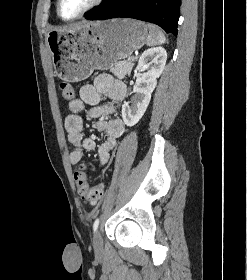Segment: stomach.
Listing matches in <instances>:
<instances>
[{"label": "stomach", "mask_w": 247, "mask_h": 280, "mask_svg": "<svg viewBox=\"0 0 247 280\" xmlns=\"http://www.w3.org/2000/svg\"><path fill=\"white\" fill-rule=\"evenodd\" d=\"M147 25L134 19L91 22L64 32L52 31L46 40L58 77L68 82L88 78L94 70L112 68L140 49Z\"/></svg>", "instance_id": "stomach-1"}]
</instances>
